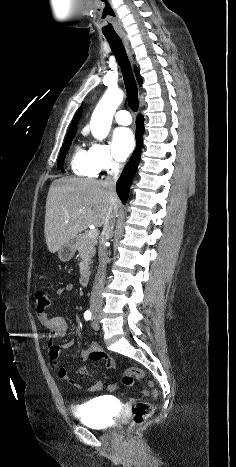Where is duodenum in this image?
<instances>
[{
  "instance_id": "obj_1",
  "label": "duodenum",
  "mask_w": 236,
  "mask_h": 467,
  "mask_svg": "<svg viewBox=\"0 0 236 467\" xmlns=\"http://www.w3.org/2000/svg\"><path fill=\"white\" fill-rule=\"evenodd\" d=\"M89 279H90L89 272H88V271H84V272L81 274V277H80V284H81V286H83V287L88 286V284H89Z\"/></svg>"
}]
</instances>
